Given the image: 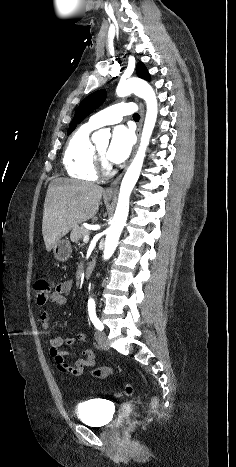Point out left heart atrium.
<instances>
[{
  "instance_id": "obj_1",
  "label": "left heart atrium",
  "mask_w": 236,
  "mask_h": 467,
  "mask_svg": "<svg viewBox=\"0 0 236 467\" xmlns=\"http://www.w3.org/2000/svg\"><path fill=\"white\" fill-rule=\"evenodd\" d=\"M133 144L134 136L132 131L125 126H117L113 130L106 156L113 163L123 162L130 155Z\"/></svg>"
}]
</instances>
